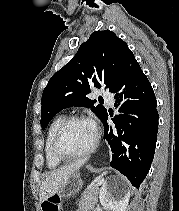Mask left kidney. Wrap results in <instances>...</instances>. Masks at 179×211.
<instances>
[{"label":"left kidney","instance_id":"obj_1","mask_svg":"<svg viewBox=\"0 0 179 211\" xmlns=\"http://www.w3.org/2000/svg\"><path fill=\"white\" fill-rule=\"evenodd\" d=\"M100 203L110 211H126L130 192L125 186L113 181L104 182L99 195Z\"/></svg>","mask_w":179,"mask_h":211}]
</instances>
